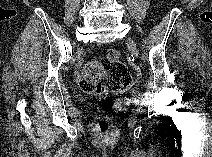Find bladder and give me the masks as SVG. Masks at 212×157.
<instances>
[{
  "mask_svg": "<svg viewBox=\"0 0 212 157\" xmlns=\"http://www.w3.org/2000/svg\"><path fill=\"white\" fill-rule=\"evenodd\" d=\"M91 98L92 96L89 94H84L81 96V100L85 103V104H89L91 102Z\"/></svg>",
  "mask_w": 212,
  "mask_h": 157,
  "instance_id": "31cf9c89",
  "label": "bladder"
}]
</instances>
